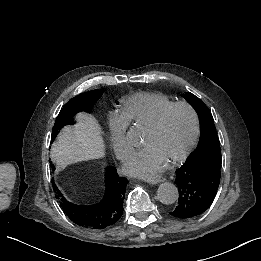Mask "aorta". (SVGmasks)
Here are the masks:
<instances>
[{
    "instance_id": "1",
    "label": "aorta",
    "mask_w": 261,
    "mask_h": 261,
    "mask_svg": "<svg viewBox=\"0 0 261 261\" xmlns=\"http://www.w3.org/2000/svg\"><path fill=\"white\" fill-rule=\"evenodd\" d=\"M128 138L131 141H135L138 139V135L135 131H129ZM157 195L160 202L166 205L175 203L179 197L177 187L170 182L160 184L157 190Z\"/></svg>"
}]
</instances>
